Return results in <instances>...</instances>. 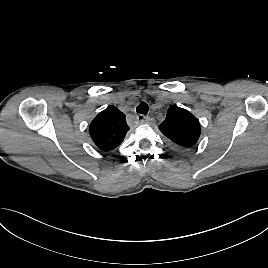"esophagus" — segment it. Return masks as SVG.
<instances>
[{
	"instance_id": "34e87169",
	"label": "esophagus",
	"mask_w": 268,
	"mask_h": 268,
	"mask_svg": "<svg viewBox=\"0 0 268 268\" xmlns=\"http://www.w3.org/2000/svg\"><path fill=\"white\" fill-rule=\"evenodd\" d=\"M136 118H137V121L140 123H144V122L149 120V117H147L143 114H139Z\"/></svg>"
}]
</instances>
